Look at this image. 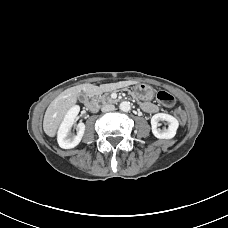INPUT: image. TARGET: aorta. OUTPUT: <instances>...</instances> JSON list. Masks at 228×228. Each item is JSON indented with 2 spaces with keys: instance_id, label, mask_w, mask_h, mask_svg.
Segmentation results:
<instances>
[{
  "instance_id": "aorta-1",
  "label": "aorta",
  "mask_w": 228,
  "mask_h": 228,
  "mask_svg": "<svg viewBox=\"0 0 228 228\" xmlns=\"http://www.w3.org/2000/svg\"><path fill=\"white\" fill-rule=\"evenodd\" d=\"M119 108L123 112H128L131 109L130 102L123 101L120 103Z\"/></svg>"
}]
</instances>
